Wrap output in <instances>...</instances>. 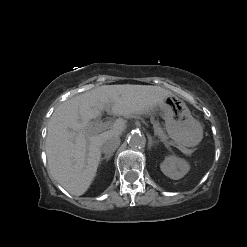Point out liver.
<instances>
[{
  "label": "liver",
  "mask_w": 247,
  "mask_h": 247,
  "mask_svg": "<svg viewBox=\"0 0 247 247\" xmlns=\"http://www.w3.org/2000/svg\"><path fill=\"white\" fill-rule=\"evenodd\" d=\"M172 93L152 85H103L60 104L48 123L46 154L50 175L70 194L83 195L90 187L101 158V144L119 137L121 121L98 133L91 120L111 109L118 116L142 114L160 105Z\"/></svg>",
  "instance_id": "liver-1"
}]
</instances>
